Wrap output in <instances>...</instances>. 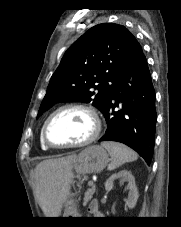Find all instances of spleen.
I'll list each match as a JSON object with an SVG mask.
<instances>
[{"mask_svg":"<svg viewBox=\"0 0 181 227\" xmlns=\"http://www.w3.org/2000/svg\"><path fill=\"white\" fill-rule=\"evenodd\" d=\"M101 146L107 149L111 156V163L108 165V170H114L126 162L137 160V154L126 145L113 142L105 141L101 143Z\"/></svg>","mask_w":181,"mask_h":227,"instance_id":"3e777b00","label":"spleen"}]
</instances>
